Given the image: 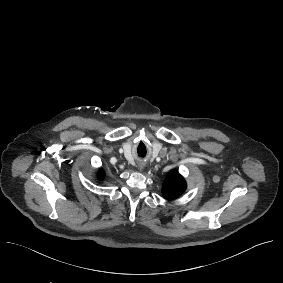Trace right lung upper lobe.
<instances>
[{"label":"right lung upper lobe","instance_id":"obj_1","mask_svg":"<svg viewBox=\"0 0 283 283\" xmlns=\"http://www.w3.org/2000/svg\"><path fill=\"white\" fill-rule=\"evenodd\" d=\"M104 175H105L104 171H103L102 169H100L99 172H98V177H99L100 179H103V178H104Z\"/></svg>","mask_w":283,"mask_h":283}]
</instances>
